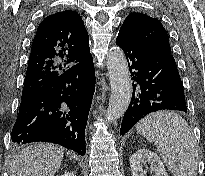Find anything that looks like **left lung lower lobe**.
I'll list each match as a JSON object with an SVG mask.
<instances>
[{
  "label": "left lung lower lobe",
  "instance_id": "0a47b994",
  "mask_svg": "<svg viewBox=\"0 0 205 176\" xmlns=\"http://www.w3.org/2000/svg\"><path fill=\"white\" fill-rule=\"evenodd\" d=\"M116 44L124 51L133 83L132 99L121 124L127 133L141 118L158 110L187 112L183 84L172 54L148 47L120 30Z\"/></svg>",
  "mask_w": 205,
  "mask_h": 176
}]
</instances>
